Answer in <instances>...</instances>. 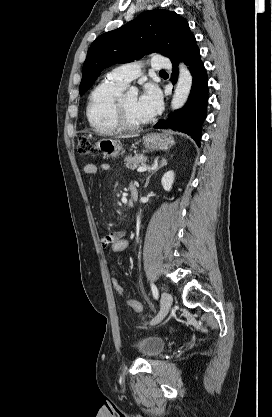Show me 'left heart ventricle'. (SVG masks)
<instances>
[{"mask_svg":"<svg viewBox=\"0 0 272 417\" xmlns=\"http://www.w3.org/2000/svg\"><path fill=\"white\" fill-rule=\"evenodd\" d=\"M137 96L126 95L123 98V106L128 120L132 123H142L147 121V118L138 110Z\"/></svg>","mask_w":272,"mask_h":417,"instance_id":"b2bd125f","label":"left heart ventricle"}]
</instances>
